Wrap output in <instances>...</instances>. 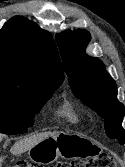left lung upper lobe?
I'll return each instance as SVG.
<instances>
[{
  "label": "left lung upper lobe",
  "mask_w": 125,
  "mask_h": 167,
  "mask_svg": "<svg viewBox=\"0 0 125 167\" xmlns=\"http://www.w3.org/2000/svg\"><path fill=\"white\" fill-rule=\"evenodd\" d=\"M56 41L73 93L105 119L109 138L125 144V130L121 126L125 107L118 101L116 83L103 63L85 53L90 41L88 31H64L56 35Z\"/></svg>",
  "instance_id": "5c2ea615"
}]
</instances>
